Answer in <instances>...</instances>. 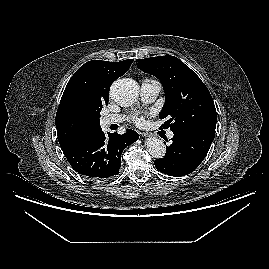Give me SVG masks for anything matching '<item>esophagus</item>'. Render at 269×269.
Returning <instances> with one entry per match:
<instances>
[{
	"label": "esophagus",
	"mask_w": 269,
	"mask_h": 269,
	"mask_svg": "<svg viewBox=\"0 0 269 269\" xmlns=\"http://www.w3.org/2000/svg\"><path fill=\"white\" fill-rule=\"evenodd\" d=\"M141 135H142V137H148V136H150V134L148 132H142Z\"/></svg>",
	"instance_id": "esophagus-1"
}]
</instances>
